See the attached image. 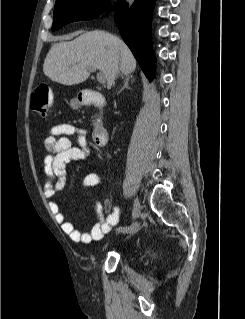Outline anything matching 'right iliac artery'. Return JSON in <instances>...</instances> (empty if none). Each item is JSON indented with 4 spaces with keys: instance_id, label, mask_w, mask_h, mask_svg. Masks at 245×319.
<instances>
[{
    "instance_id": "82829eb1",
    "label": "right iliac artery",
    "mask_w": 245,
    "mask_h": 319,
    "mask_svg": "<svg viewBox=\"0 0 245 319\" xmlns=\"http://www.w3.org/2000/svg\"><path fill=\"white\" fill-rule=\"evenodd\" d=\"M118 232H121V233H132L133 230H134V227L131 226H126V227H119L118 229Z\"/></svg>"
}]
</instances>
